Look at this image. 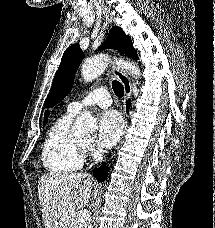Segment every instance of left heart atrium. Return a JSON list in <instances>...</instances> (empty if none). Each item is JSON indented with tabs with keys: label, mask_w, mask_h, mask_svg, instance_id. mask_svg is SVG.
Here are the masks:
<instances>
[{
	"label": "left heart atrium",
	"mask_w": 215,
	"mask_h": 228,
	"mask_svg": "<svg viewBox=\"0 0 215 228\" xmlns=\"http://www.w3.org/2000/svg\"><path fill=\"white\" fill-rule=\"evenodd\" d=\"M123 120L116 111H108L99 119L98 143L109 148L114 146L122 136Z\"/></svg>",
	"instance_id": "left-heart-atrium-1"
}]
</instances>
